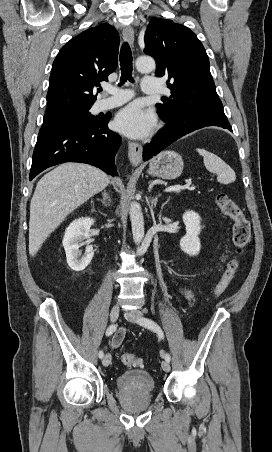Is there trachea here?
I'll return each instance as SVG.
<instances>
[{
  "mask_svg": "<svg viewBox=\"0 0 272 452\" xmlns=\"http://www.w3.org/2000/svg\"><path fill=\"white\" fill-rule=\"evenodd\" d=\"M121 80L119 85L127 80L132 81V52L127 42L123 43L120 51ZM99 91H102L100 89Z\"/></svg>",
  "mask_w": 272,
  "mask_h": 452,
  "instance_id": "1",
  "label": "trachea"
}]
</instances>
